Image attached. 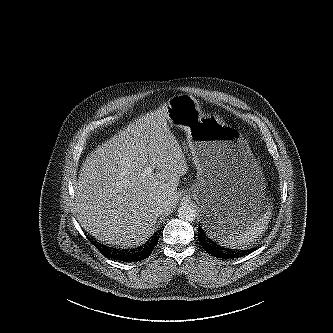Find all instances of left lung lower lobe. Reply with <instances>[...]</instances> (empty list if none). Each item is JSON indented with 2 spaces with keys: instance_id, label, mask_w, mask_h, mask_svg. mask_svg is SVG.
I'll return each mask as SVG.
<instances>
[{
  "instance_id": "obj_1",
  "label": "left lung lower lobe",
  "mask_w": 333,
  "mask_h": 333,
  "mask_svg": "<svg viewBox=\"0 0 333 333\" xmlns=\"http://www.w3.org/2000/svg\"><path fill=\"white\" fill-rule=\"evenodd\" d=\"M198 237L203 248L217 258H238L243 256L248 251L228 249L224 246H221L217 242V240H215V238H212V235L210 236L207 230L205 228H202L200 225L198 228Z\"/></svg>"
}]
</instances>
